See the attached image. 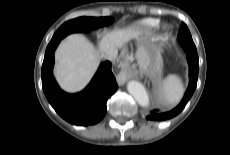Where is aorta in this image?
Returning a JSON list of instances; mask_svg holds the SVG:
<instances>
[{"instance_id": "obj_1", "label": "aorta", "mask_w": 230, "mask_h": 155, "mask_svg": "<svg viewBox=\"0 0 230 155\" xmlns=\"http://www.w3.org/2000/svg\"><path fill=\"white\" fill-rule=\"evenodd\" d=\"M127 90L130 95L138 102L142 107L149 106V96L145 87L138 81L132 80L127 84Z\"/></svg>"}]
</instances>
